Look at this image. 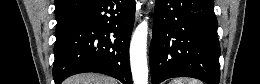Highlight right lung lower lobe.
<instances>
[{
	"label": "right lung lower lobe",
	"instance_id": "right-lung-lower-lobe-1",
	"mask_svg": "<svg viewBox=\"0 0 260 84\" xmlns=\"http://www.w3.org/2000/svg\"><path fill=\"white\" fill-rule=\"evenodd\" d=\"M134 18L135 0H95L58 25L55 84L84 72L103 73L132 84L128 54Z\"/></svg>",
	"mask_w": 260,
	"mask_h": 84
}]
</instances>
